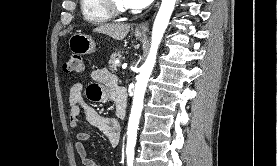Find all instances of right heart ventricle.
Here are the masks:
<instances>
[{"label":"right heart ventricle","mask_w":277,"mask_h":166,"mask_svg":"<svg viewBox=\"0 0 277 166\" xmlns=\"http://www.w3.org/2000/svg\"><path fill=\"white\" fill-rule=\"evenodd\" d=\"M80 8L84 19L91 23L102 24L112 19L98 0H80Z\"/></svg>","instance_id":"obj_1"}]
</instances>
